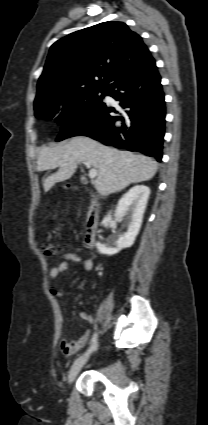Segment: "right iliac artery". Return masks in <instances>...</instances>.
I'll list each match as a JSON object with an SVG mask.
<instances>
[{
	"instance_id": "right-iliac-artery-1",
	"label": "right iliac artery",
	"mask_w": 208,
	"mask_h": 425,
	"mask_svg": "<svg viewBox=\"0 0 208 425\" xmlns=\"http://www.w3.org/2000/svg\"><path fill=\"white\" fill-rule=\"evenodd\" d=\"M96 347H97V334L95 333V334L93 335L92 339H91L90 347H89V349L87 350V353H86V354L91 353L93 350H95V349H96Z\"/></svg>"
}]
</instances>
